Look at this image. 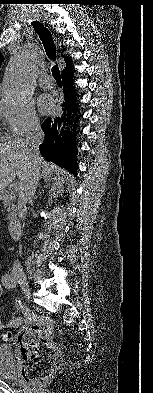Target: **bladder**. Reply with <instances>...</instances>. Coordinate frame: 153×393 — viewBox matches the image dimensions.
I'll return each mask as SVG.
<instances>
[{"label": "bladder", "instance_id": "bladder-1", "mask_svg": "<svg viewBox=\"0 0 153 393\" xmlns=\"http://www.w3.org/2000/svg\"><path fill=\"white\" fill-rule=\"evenodd\" d=\"M15 368L12 348L9 345L0 344V378L14 380Z\"/></svg>", "mask_w": 153, "mask_h": 393}]
</instances>
